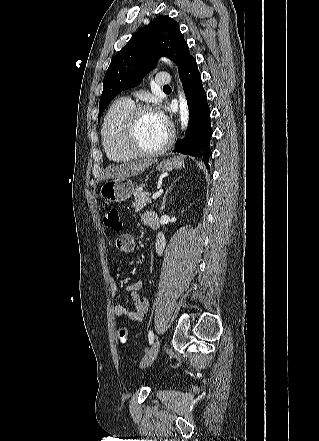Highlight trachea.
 <instances>
[{"label": "trachea", "instance_id": "obj_1", "mask_svg": "<svg viewBox=\"0 0 319 441\" xmlns=\"http://www.w3.org/2000/svg\"><path fill=\"white\" fill-rule=\"evenodd\" d=\"M169 88H170V86H168V85L163 87V89H169Z\"/></svg>", "mask_w": 319, "mask_h": 441}]
</instances>
